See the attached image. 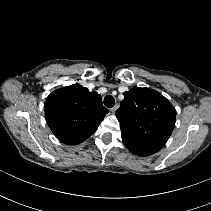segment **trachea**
Listing matches in <instances>:
<instances>
[{"mask_svg":"<svg viewBox=\"0 0 211 211\" xmlns=\"http://www.w3.org/2000/svg\"><path fill=\"white\" fill-rule=\"evenodd\" d=\"M115 104V100L111 95H106L104 97V105L108 108H112Z\"/></svg>","mask_w":211,"mask_h":211,"instance_id":"trachea-1","label":"trachea"}]
</instances>
